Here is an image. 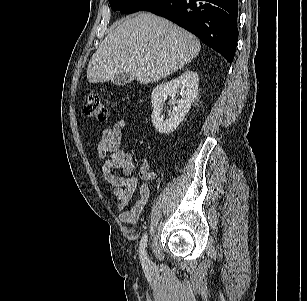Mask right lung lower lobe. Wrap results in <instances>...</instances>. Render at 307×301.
Listing matches in <instances>:
<instances>
[{
	"label": "right lung lower lobe",
	"mask_w": 307,
	"mask_h": 301,
	"mask_svg": "<svg viewBox=\"0 0 307 301\" xmlns=\"http://www.w3.org/2000/svg\"><path fill=\"white\" fill-rule=\"evenodd\" d=\"M141 11L180 25L232 63L238 40V0H155Z\"/></svg>",
	"instance_id": "obj_1"
}]
</instances>
